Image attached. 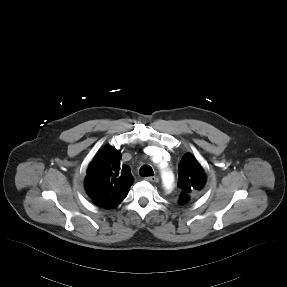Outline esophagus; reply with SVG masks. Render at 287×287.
Wrapping results in <instances>:
<instances>
[{
    "instance_id": "obj_1",
    "label": "esophagus",
    "mask_w": 287,
    "mask_h": 287,
    "mask_svg": "<svg viewBox=\"0 0 287 287\" xmlns=\"http://www.w3.org/2000/svg\"><path fill=\"white\" fill-rule=\"evenodd\" d=\"M145 180H147V181H149V182H155V183L159 182V179H158V177H156V176H148V177H145Z\"/></svg>"
}]
</instances>
